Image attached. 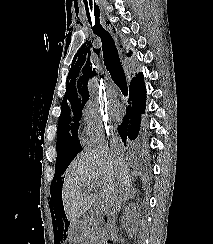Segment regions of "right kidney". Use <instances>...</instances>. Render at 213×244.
<instances>
[{
  "instance_id": "right-kidney-1",
  "label": "right kidney",
  "mask_w": 213,
  "mask_h": 244,
  "mask_svg": "<svg viewBox=\"0 0 213 244\" xmlns=\"http://www.w3.org/2000/svg\"><path fill=\"white\" fill-rule=\"evenodd\" d=\"M131 209H132V211L129 210L127 212V214H126V217L127 218H130L129 219V223H131L132 224V227H133L135 224H137V221L136 220L138 218V214H137V211H136V205L135 204H132L131 205ZM124 220H125V218H124ZM126 226H128L127 223H126Z\"/></svg>"
}]
</instances>
